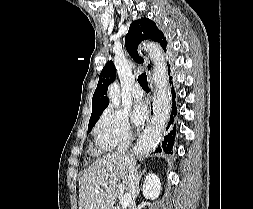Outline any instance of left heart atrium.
Masks as SVG:
<instances>
[{"instance_id":"39dd6f15","label":"left heart atrium","mask_w":253,"mask_h":209,"mask_svg":"<svg viewBox=\"0 0 253 209\" xmlns=\"http://www.w3.org/2000/svg\"><path fill=\"white\" fill-rule=\"evenodd\" d=\"M147 118V109L143 105H138L135 107L132 120L135 125H141Z\"/></svg>"}]
</instances>
